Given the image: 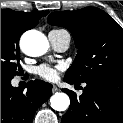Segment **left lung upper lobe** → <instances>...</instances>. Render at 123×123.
<instances>
[{
  "label": "left lung upper lobe",
  "mask_w": 123,
  "mask_h": 123,
  "mask_svg": "<svg viewBox=\"0 0 123 123\" xmlns=\"http://www.w3.org/2000/svg\"><path fill=\"white\" fill-rule=\"evenodd\" d=\"M48 23L67 28L78 48L65 78L75 82L123 77V29L103 10L87 7L53 12Z\"/></svg>",
  "instance_id": "obj_1"
}]
</instances>
